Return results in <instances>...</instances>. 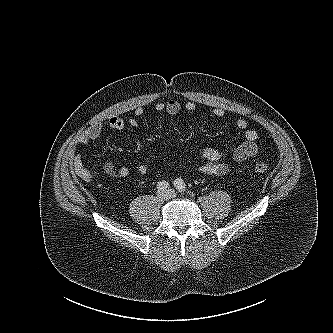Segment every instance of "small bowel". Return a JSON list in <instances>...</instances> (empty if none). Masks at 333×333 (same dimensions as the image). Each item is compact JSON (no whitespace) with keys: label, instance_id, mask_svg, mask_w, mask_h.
Segmentation results:
<instances>
[{"label":"small bowel","instance_id":"obj_1","mask_svg":"<svg viewBox=\"0 0 333 333\" xmlns=\"http://www.w3.org/2000/svg\"><path fill=\"white\" fill-rule=\"evenodd\" d=\"M155 110L158 113L166 112L170 115H177L182 110L192 113L196 110V104L192 101H188L182 105L179 101L172 99L167 102L156 103ZM143 113L144 111L142 108H137L135 110L136 117H141ZM212 114L214 117L222 118L225 112L221 108H214L212 110ZM137 125L138 121L136 118H129L124 120L116 116L110 117L87 128L80 137L79 143L82 145L89 144L98 139L107 129L121 131L126 127H136ZM235 125L239 130L243 131L244 135V141L235 148L232 154L233 162L240 164L256 156L258 153V146L256 143L258 132L255 129L248 128V122L244 118H238L235 121ZM194 166L198 172L210 176H225L231 170V165L225 162L224 153L212 148L201 151L195 161ZM147 170L148 167L145 163H139L133 166H123L117 170L109 162H106L101 166V171L103 174L113 178L121 179L128 177L132 172L144 175L146 174ZM70 171L72 174L88 180L95 179L98 175V172L90 170L84 166L80 155H75L71 158Z\"/></svg>","mask_w":333,"mask_h":333}]
</instances>
